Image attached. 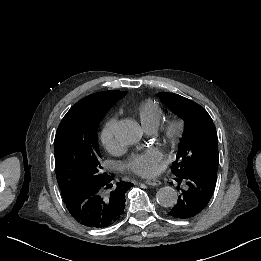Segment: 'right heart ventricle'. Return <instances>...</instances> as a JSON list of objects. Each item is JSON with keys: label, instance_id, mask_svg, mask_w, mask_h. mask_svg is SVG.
I'll list each match as a JSON object with an SVG mask.
<instances>
[{"label": "right heart ventricle", "instance_id": "e07e8e85", "mask_svg": "<svg viewBox=\"0 0 261 261\" xmlns=\"http://www.w3.org/2000/svg\"><path fill=\"white\" fill-rule=\"evenodd\" d=\"M136 115L145 128L154 129L164 118L165 111L157 101L147 99L138 106Z\"/></svg>", "mask_w": 261, "mask_h": 261}]
</instances>
